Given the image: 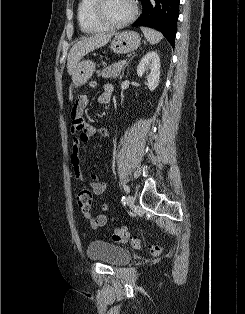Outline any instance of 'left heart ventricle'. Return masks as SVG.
<instances>
[{"mask_svg":"<svg viewBox=\"0 0 245 314\" xmlns=\"http://www.w3.org/2000/svg\"><path fill=\"white\" fill-rule=\"evenodd\" d=\"M132 12L131 0H104L102 16L109 22L125 20Z\"/></svg>","mask_w":245,"mask_h":314,"instance_id":"1","label":"left heart ventricle"}]
</instances>
